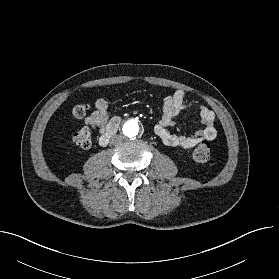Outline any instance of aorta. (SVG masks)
I'll list each match as a JSON object with an SVG mask.
<instances>
[{
  "mask_svg": "<svg viewBox=\"0 0 279 279\" xmlns=\"http://www.w3.org/2000/svg\"><path fill=\"white\" fill-rule=\"evenodd\" d=\"M140 131V124L134 119L125 121L121 127V133L127 139L136 137L139 135Z\"/></svg>",
  "mask_w": 279,
  "mask_h": 279,
  "instance_id": "aorta-1",
  "label": "aorta"
}]
</instances>
